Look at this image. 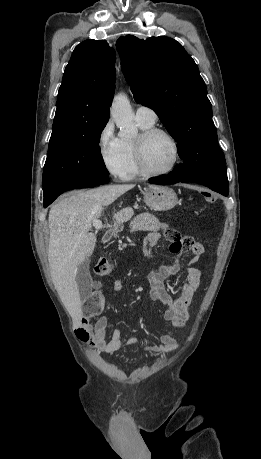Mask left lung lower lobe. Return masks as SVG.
<instances>
[{
	"label": "left lung lower lobe",
	"instance_id": "left-lung-lower-lobe-1",
	"mask_svg": "<svg viewBox=\"0 0 261 459\" xmlns=\"http://www.w3.org/2000/svg\"><path fill=\"white\" fill-rule=\"evenodd\" d=\"M152 184H174L178 182H195L209 187L224 196L229 193L227 171L226 169H206L196 172L192 175L185 176L179 170L174 169L168 175L152 178Z\"/></svg>",
	"mask_w": 261,
	"mask_h": 459
}]
</instances>
